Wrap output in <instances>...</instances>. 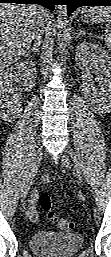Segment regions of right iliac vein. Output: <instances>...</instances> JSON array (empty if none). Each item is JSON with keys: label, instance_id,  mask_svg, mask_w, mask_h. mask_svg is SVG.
<instances>
[{"label": "right iliac vein", "instance_id": "right-iliac-vein-1", "mask_svg": "<svg viewBox=\"0 0 111 257\" xmlns=\"http://www.w3.org/2000/svg\"><path fill=\"white\" fill-rule=\"evenodd\" d=\"M42 157H43V148L39 147L37 149L34 157H33L32 164H31V169H30V172L28 174V177H27V180H26V183H25V187H24V189L22 190V193H21V202H24V200L26 199V197L28 195L29 189H30L31 185L33 184V181H34V178L36 176L38 167L41 163Z\"/></svg>", "mask_w": 111, "mask_h": 257}]
</instances>
